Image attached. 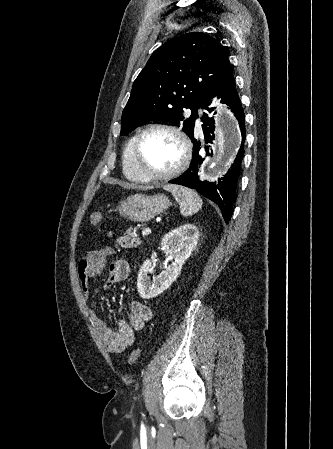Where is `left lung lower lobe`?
I'll return each mask as SVG.
<instances>
[{
	"label": "left lung lower lobe",
	"mask_w": 333,
	"mask_h": 449,
	"mask_svg": "<svg viewBox=\"0 0 333 449\" xmlns=\"http://www.w3.org/2000/svg\"><path fill=\"white\" fill-rule=\"evenodd\" d=\"M214 96L222 98L221 102L231 107L232 112L235 114L239 122V127L242 134L241 147L238 151L234 163L231 166V169H229V171L223 178L218 179V182L209 183L207 181H200L197 173L204 158L199 154V151L201 149L200 141L193 137L191 140L194 145V152L190 167L184 174L170 181V183L184 185L189 188H195L203 196L214 201L221 209L225 222L228 223L233 213L232 204L234 202L237 181L241 169L245 140V116L235 87L233 74L220 86ZM210 103L211 101H209L206 106L210 105ZM205 109L208 112L214 110V108L206 107ZM208 112L203 114L201 121L203 122L202 128L205 136V141L206 143H212V139L214 138L213 132L215 129L214 118L209 117Z\"/></svg>",
	"instance_id": "obj_1"
}]
</instances>
